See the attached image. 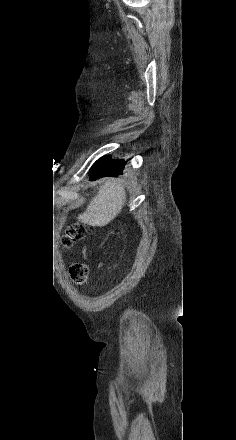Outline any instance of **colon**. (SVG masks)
I'll return each instance as SVG.
<instances>
[{
	"label": "colon",
	"mask_w": 236,
	"mask_h": 440,
	"mask_svg": "<svg viewBox=\"0 0 236 440\" xmlns=\"http://www.w3.org/2000/svg\"><path fill=\"white\" fill-rule=\"evenodd\" d=\"M87 233V228L79 223L69 225L62 239L64 247H70L75 241L81 240ZM71 279L78 285L89 283V268L83 263H74L70 267Z\"/></svg>",
	"instance_id": "colon-1"
}]
</instances>
